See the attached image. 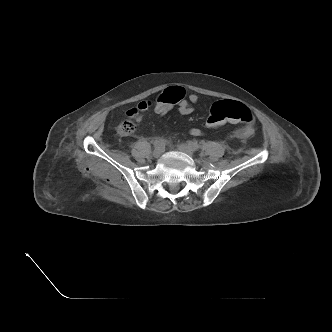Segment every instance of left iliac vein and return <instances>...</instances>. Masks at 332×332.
Here are the masks:
<instances>
[{
    "label": "left iliac vein",
    "mask_w": 332,
    "mask_h": 332,
    "mask_svg": "<svg viewBox=\"0 0 332 332\" xmlns=\"http://www.w3.org/2000/svg\"><path fill=\"white\" fill-rule=\"evenodd\" d=\"M178 149L188 155H192L194 153V149L189 144H179Z\"/></svg>",
    "instance_id": "1"
}]
</instances>
